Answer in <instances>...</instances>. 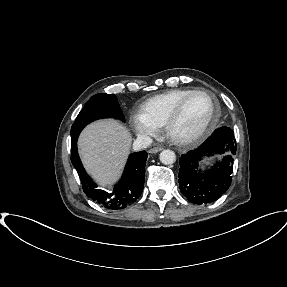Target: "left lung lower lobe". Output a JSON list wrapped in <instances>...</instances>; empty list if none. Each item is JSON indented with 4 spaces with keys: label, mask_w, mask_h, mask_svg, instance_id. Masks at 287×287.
<instances>
[{
    "label": "left lung lower lobe",
    "mask_w": 287,
    "mask_h": 287,
    "mask_svg": "<svg viewBox=\"0 0 287 287\" xmlns=\"http://www.w3.org/2000/svg\"><path fill=\"white\" fill-rule=\"evenodd\" d=\"M234 132L227 126L216 129L205 142L179 159V186L185 197L194 204H206L219 199L230 187L233 158L225 156L215 165L204 168L202 160L230 151L235 154Z\"/></svg>",
    "instance_id": "0a47b994"
}]
</instances>
